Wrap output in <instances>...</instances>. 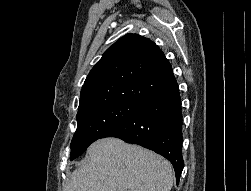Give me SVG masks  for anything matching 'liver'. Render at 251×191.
Returning a JSON list of instances; mask_svg holds the SVG:
<instances>
[{
  "label": "liver",
  "mask_w": 251,
  "mask_h": 191,
  "mask_svg": "<svg viewBox=\"0 0 251 191\" xmlns=\"http://www.w3.org/2000/svg\"><path fill=\"white\" fill-rule=\"evenodd\" d=\"M172 185L168 159L118 137H104L89 145L65 191H170Z\"/></svg>",
  "instance_id": "1"
}]
</instances>
